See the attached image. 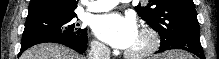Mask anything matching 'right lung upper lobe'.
Wrapping results in <instances>:
<instances>
[{"instance_id":"obj_1","label":"right lung upper lobe","mask_w":219,"mask_h":59,"mask_svg":"<svg viewBox=\"0 0 219 59\" xmlns=\"http://www.w3.org/2000/svg\"><path fill=\"white\" fill-rule=\"evenodd\" d=\"M78 1L79 0H31L28 13L39 10L74 13Z\"/></svg>"}]
</instances>
